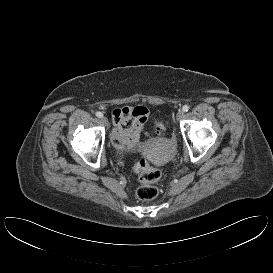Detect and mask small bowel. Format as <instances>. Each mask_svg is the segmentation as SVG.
Wrapping results in <instances>:
<instances>
[{
  "label": "small bowel",
  "mask_w": 273,
  "mask_h": 273,
  "mask_svg": "<svg viewBox=\"0 0 273 273\" xmlns=\"http://www.w3.org/2000/svg\"><path fill=\"white\" fill-rule=\"evenodd\" d=\"M148 114L147 108L143 106L115 109L112 112V141L117 146L135 143L147 122Z\"/></svg>",
  "instance_id": "1"
}]
</instances>
